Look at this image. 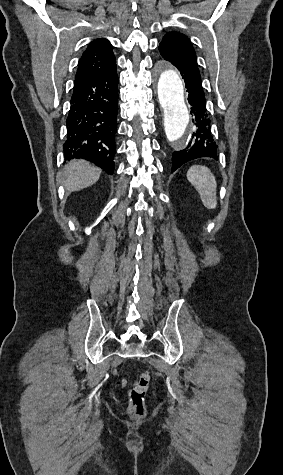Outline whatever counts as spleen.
<instances>
[{"instance_id": "1", "label": "spleen", "mask_w": 283, "mask_h": 475, "mask_svg": "<svg viewBox=\"0 0 283 475\" xmlns=\"http://www.w3.org/2000/svg\"><path fill=\"white\" fill-rule=\"evenodd\" d=\"M187 180L196 188L203 206L207 210H214L217 206L216 178L206 166H191L187 172Z\"/></svg>"}]
</instances>
